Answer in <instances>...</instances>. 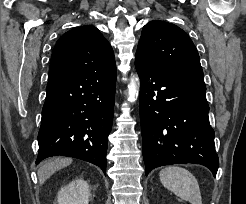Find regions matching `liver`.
Here are the masks:
<instances>
[{"label": "liver", "mask_w": 246, "mask_h": 204, "mask_svg": "<svg viewBox=\"0 0 246 204\" xmlns=\"http://www.w3.org/2000/svg\"><path fill=\"white\" fill-rule=\"evenodd\" d=\"M71 158H55L52 161L45 162L43 165L40 166L38 170V179L40 185H43L44 182L51 176L53 173L62 169L69 164H71Z\"/></svg>", "instance_id": "liver-1"}]
</instances>
